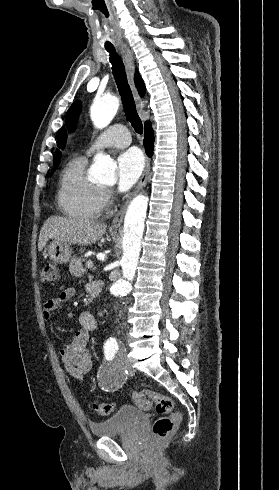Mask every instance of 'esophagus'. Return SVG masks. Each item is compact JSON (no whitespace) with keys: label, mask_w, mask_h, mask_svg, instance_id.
<instances>
[{"label":"esophagus","mask_w":279,"mask_h":490,"mask_svg":"<svg viewBox=\"0 0 279 490\" xmlns=\"http://www.w3.org/2000/svg\"><path fill=\"white\" fill-rule=\"evenodd\" d=\"M120 51H121V55H122L123 62L125 65V69H126V73H127L128 82L130 84L135 103H136L137 107L140 109L143 107V101L140 98V96L137 92V89L135 88V84H134V80H133L134 70H135L134 54H133L132 50H130V48L125 44L120 46ZM149 172H150V158H146L144 170L142 172L139 183H138L134 193L126 201V203L122 206V208L119 210L117 215L114 217L112 224H111V228L120 227L121 223L123 222L125 211H126L128 204L142 190V188L146 185Z\"/></svg>","instance_id":"esophagus-1"}]
</instances>
